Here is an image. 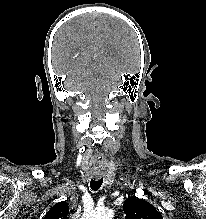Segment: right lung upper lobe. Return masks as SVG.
I'll return each instance as SVG.
<instances>
[{"label": "right lung upper lobe", "mask_w": 206, "mask_h": 219, "mask_svg": "<svg viewBox=\"0 0 206 219\" xmlns=\"http://www.w3.org/2000/svg\"><path fill=\"white\" fill-rule=\"evenodd\" d=\"M68 212V204L65 201L59 202L46 213L43 219H67Z\"/></svg>", "instance_id": "1"}]
</instances>
